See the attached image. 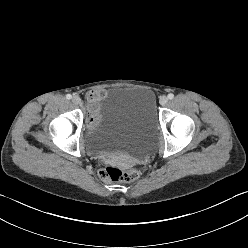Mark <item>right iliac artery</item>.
<instances>
[{
  "instance_id": "right-iliac-artery-1",
  "label": "right iliac artery",
  "mask_w": 248,
  "mask_h": 248,
  "mask_svg": "<svg viewBox=\"0 0 248 248\" xmlns=\"http://www.w3.org/2000/svg\"><path fill=\"white\" fill-rule=\"evenodd\" d=\"M66 98H67V99H71V98H72L71 94H67V95H66Z\"/></svg>"
}]
</instances>
